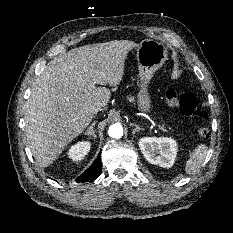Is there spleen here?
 I'll use <instances>...</instances> for the list:
<instances>
[{
    "label": "spleen",
    "instance_id": "spleen-1",
    "mask_svg": "<svg viewBox=\"0 0 233 233\" xmlns=\"http://www.w3.org/2000/svg\"><path fill=\"white\" fill-rule=\"evenodd\" d=\"M208 153V147L205 144L198 145L191 153L190 158L186 162V174L195 173L204 163Z\"/></svg>",
    "mask_w": 233,
    "mask_h": 233
}]
</instances>
